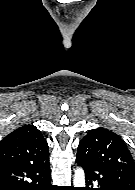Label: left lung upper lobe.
<instances>
[{
	"label": "left lung upper lobe",
	"instance_id": "left-lung-upper-lobe-1",
	"mask_svg": "<svg viewBox=\"0 0 135 190\" xmlns=\"http://www.w3.org/2000/svg\"><path fill=\"white\" fill-rule=\"evenodd\" d=\"M76 158L109 171L127 190H135V162L114 132L105 128L90 131L80 141Z\"/></svg>",
	"mask_w": 135,
	"mask_h": 190
}]
</instances>
